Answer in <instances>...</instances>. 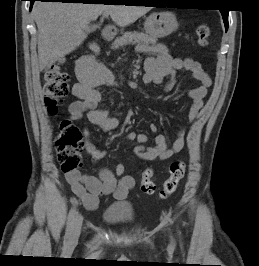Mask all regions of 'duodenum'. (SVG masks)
Listing matches in <instances>:
<instances>
[{
	"instance_id": "duodenum-1",
	"label": "duodenum",
	"mask_w": 259,
	"mask_h": 266,
	"mask_svg": "<svg viewBox=\"0 0 259 266\" xmlns=\"http://www.w3.org/2000/svg\"><path fill=\"white\" fill-rule=\"evenodd\" d=\"M101 34H102V38H103L104 40H110V39H112L113 36H114V31H113V29L110 28V27H105V28H103Z\"/></svg>"
}]
</instances>
